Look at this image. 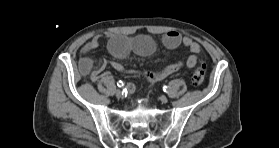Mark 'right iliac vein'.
<instances>
[{
	"instance_id": "right-iliac-vein-1",
	"label": "right iliac vein",
	"mask_w": 279,
	"mask_h": 148,
	"mask_svg": "<svg viewBox=\"0 0 279 148\" xmlns=\"http://www.w3.org/2000/svg\"><path fill=\"white\" fill-rule=\"evenodd\" d=\"M116 97L120 98L122 96V91L121 90H116L115 92Z\"/></svg>"
}]
</instances>
